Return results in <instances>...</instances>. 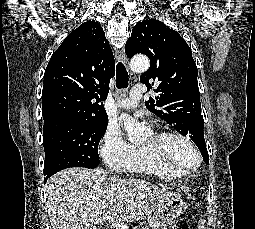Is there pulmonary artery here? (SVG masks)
Returning a JSON list of instances; mask_svg holds the SVG:
<instances>
[{"mask_svg":"<svg viewBox=\"0 0 255 229\" xmlns=\"http://www.w3.org/2000/svg\"><path fill=\"white\" fill-rule=\"evenodd\" d=\"M144 93V86L142 84H135L130 91V95L128 97L117 99L116 105L122 109L136 108Z\"/></svg>","mask_w":255,"mask_h":229,"instance_id":"e3ab8cb5","label":"pulmonary artery"}]
</instances>
